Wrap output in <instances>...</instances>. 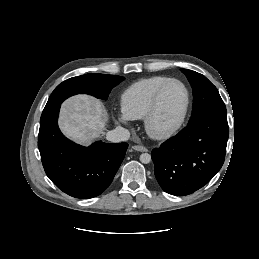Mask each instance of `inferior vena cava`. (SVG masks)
Returning a JSON list of instances; mask_svg holds the SVG:
<instances>
[{"mask_svg":"<svg viewBox=\"0 0 259 259\" xmlns=\"http://www.w3.org/2000/svg\"><path fill=\"white\" fill-rule=\"evenodd\" d=\"M129 138V130L121 126H117L114 130L109 131L106 135V139L111 142L127 141Z\"/></svg>","mask_w":259,"mask_h":259,"instance_id":"inferior-vena-cava-1","label":"inferior vena cava"}]
</instances>
